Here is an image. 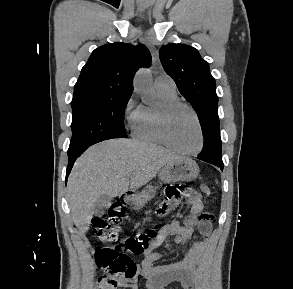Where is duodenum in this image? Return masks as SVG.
<instances>
[{
	"label": "duodenum",
	"instance_id": "duodenum-1",
	"mask_svg": "<svg viewBox=\"0 0 293 289\" xmlns=\"http://www.w3.org/2000/svg\"><path fill=\"white\" fill-rule=\"evenodd\" d=\"M133 200V194L131 192L124 193L122 195V202L125 205H129Z\"/></svg>",
	"mask_w": 293,
	"mask_h": 289
}]
</instances>
